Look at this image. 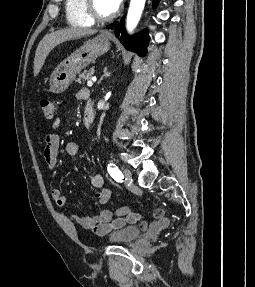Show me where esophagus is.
<instances>
[{
    "instance_id": "esophagus-1",
    "label": "esophagus",
    "mask_w": 255,
    "mask_h": 287,
    "mask_svg": "<svg viewBox=\"0 0 255 287\" xmlns=\"http://www.w3.org/2000/svg\"><path fill=\"white\" fill-rule=\"evenodd\" d=\"M106 33H108V34H109V33H110V30H108Z\"/></svg>"
}]
</instances>
